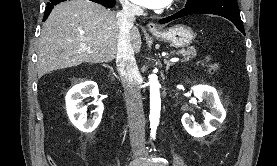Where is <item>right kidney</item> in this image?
<instances>
[{
  "label": "right kidney",
  "instance_id": "obj_1",
  "mask_svg": "<svg viewBox=\"0 0 277 166\" xmlns=\"http://www.w3.org/2000/svg\"><path fill=\"white\" fill-rule=\"evenodd\" d=\"M99 91L96 83L88 81L72 87L66 97L67 114L72 124L82 132L90 133L99 125L102 113L103 103L98 98ZM94 97L92 104L95 105L92 119L87 120L85 116L87 106H83V98Z\"/></svg>",
  "mask_w": 277,
  "mask_h": 166
}]
</instances>
